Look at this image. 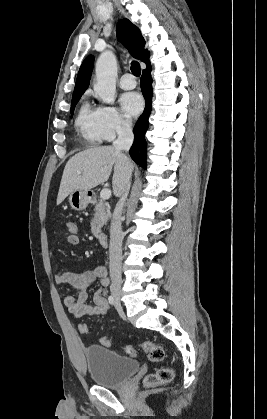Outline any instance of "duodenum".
I'll return each mask as SVG.
<instances>
[{"label": "duodenum", "mask_w": 267, "mask_h": 419, "mask_svg": "<svg viewBox=\"0 0 267 419\" xmlns=\"http://www.w3.org/2000/svg\"><path fill=\"white\" fill-rule=\"evenodd\" d=\"M90 201L91 202H94L95 201V197L91 196L90 197ZM98 240H99V242H100L101 245H103V246L106 245L107 242H108V236H107V234L105 232H100L98 234Z\"/></svg>", "instance_id": "1"}]
</instances>
